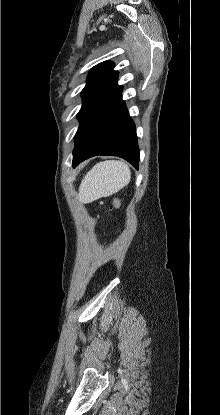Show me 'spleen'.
Returning <instances> with one entry per match:
<instances>
[{"instance_id": "1", "label": "spleen", "mask_w": 220, "mask_h": 415, "mask_svg": "<svg viewBox=\"0 0 220 415\" xmlns=\"http://www.w3.org/2000/svg\"><path fill=\"white\" fill-rule=\"evenodd\" d=\"M131 179V171L124 161L107 160L99 162L85 175L79 186V201L90 203L110 196Z\"/></svg>"}]
</instances>
